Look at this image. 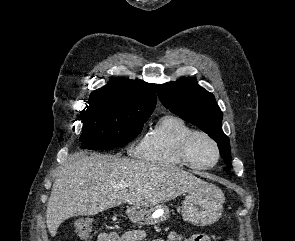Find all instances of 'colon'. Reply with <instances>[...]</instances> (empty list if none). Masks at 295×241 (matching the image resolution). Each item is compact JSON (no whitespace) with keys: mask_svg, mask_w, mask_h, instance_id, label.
<instances>
[{"mask_svg":"<svg viewBox=\"0 0 295 241\" xmlns=\"http://www.w3.org/2000/svg\"><path fill=\"white\" fill-rule=\"evenodd\" d=\"M91 228H92V224L88 223L87 227L81 232V235L84 239H88L89 238V234L91 232ZM223 241H234L232 239H228V240H223Z\"/></svg>","mask_w":295,"mask_h":241,"instance_id":"obj_1","label":"colon"}]
</instances>
